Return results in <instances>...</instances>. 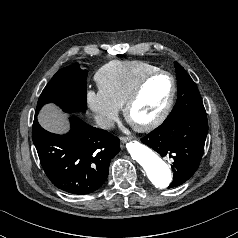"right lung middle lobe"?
Here are the masks:
<instances>
[{"label": "right lung middle lobe", "instance_id": "right-lung-middle-lobe-1", "mask_svg": "<svg viewBox=\"0 0 238 238\" xmlns=\"http://www.w3.org/2000/svg\"><path fill=\"white\" fill-rule=\"evenodd\" d=\"M87 73L79 68L78 63L59 70L43 89L35 115L49 102L56 103L65 112L85 111Z\"/></svg>", "mask_w": 238, "mask_h": 238}]
</instances>
